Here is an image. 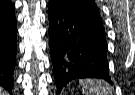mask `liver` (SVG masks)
<instances>
[{"label":"liver","mask_w":135,"mask_h":95,"mask_svg":"<svg viewBox=\"0 0 135 95\" xmlns=\"http://www.w3.org/2000/svg\"><path fill=\"white\" fill-rule=\"evenodd\" d=\"M7 92H5L4 90L0 89V95H7Z\"/></svg>","instance_id":"6515ba94"}]
</instances>
